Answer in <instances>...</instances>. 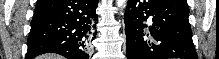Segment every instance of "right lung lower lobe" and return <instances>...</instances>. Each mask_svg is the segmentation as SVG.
<instances>
[{
	"label": "right lung lower lobe",
	"instance_id": "1",
	"mask_svg": "<svg viewBox=\"0 0 219 59\" xmlns=\"http://www.w3.org/2000/svg\"><path fill=\"white\" fill-rule=\"evenodd\" d=\"M98 0H38L25 59L48 52L87 59L95 38Z\"/></svg>",
	"mask_w": 219,
	"mask_h": 59
}]
</instances>
